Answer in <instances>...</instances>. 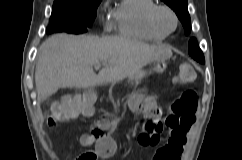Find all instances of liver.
I'll return each mask as SVG.
<instances>
[{
  "label": "liver",
  "mask_w": 242,
  "mask_h": 160,
  "mask_svg": "<svg viewBox=\"0 0 242 160\" xmlns=\"http://www.w3.org/2000/svg\"><path fill=\"white\" fill-rule=\"evenodd\" d=\"M172 57L164 45H148L125 37L57 34L40 49L35 71L38 97L46 100L60 88H87L132 79L154 61ZM105 67L95 74L93 67Z\"/></svg>",
  "instance_id": "6515ba94"
}]
</instances>
